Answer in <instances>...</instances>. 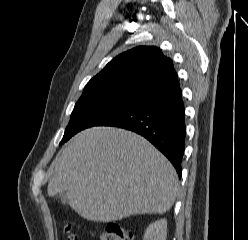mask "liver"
<instances>
[{
  "mask_svg": "<svg viewBox=\"0 0 248 240\" xmlns=\"http://www.w3.org/2000/svg\"><path fill=\"white\" fill-rule=\"evenodd\" d=\"M179 189L168 159L140 135L113 127L81 131L50 166V197L67 192L71 208L94 222L170 210Z\"/></svg>",
  "mask_w": 248,
  "mask_h": 240,
  "instance_id": "6515ba94",
  "label": "liver"
}]
</instances>
